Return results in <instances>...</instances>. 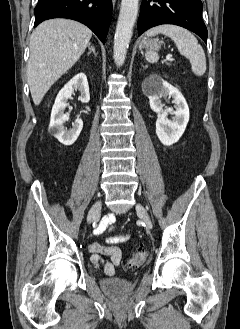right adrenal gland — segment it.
<instances>
[{
  "mask_svg": "<svg viewBox=\"0 0 240 329\" xmlns=\"http://www.w3.org/2000/svg\"><path fill=\"white\" fill-rule=\"evenodd\" d=\"M88 49H89L88 55L91 53H93L95 56L97 55L94 46H90L89 44Z\"/></svg>",
  "mask_w": 240,
  "mask_h": 329,
  "instance_id": "obj_1",
  "label": "right adrenal gland"
}]
</instances>
